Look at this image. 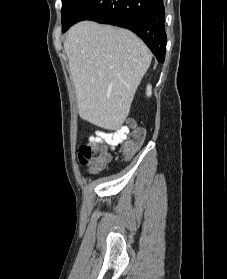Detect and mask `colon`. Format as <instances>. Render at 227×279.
<instances>
[{
	"label": "colon",
	"instance_id": "5ec220e1",
	"mask_svg": "<svg viewBox=\"0 0 227 279\" xmlns=\"http://www.w3.org/2000/svg\"><path fill=\"white\" fill-rule=\"evenodd\" d=\"M145 132L140 129H134L130 137L123 143L121 157L130 158L143 144ZM79 163L88 167L91 171H96L109 161V155L106 153L102 142L99 139H93L80 147L78 153Z\"/></svg>",
	"mask_w": 227,
	"mask_h": 279
}]
</instances>
